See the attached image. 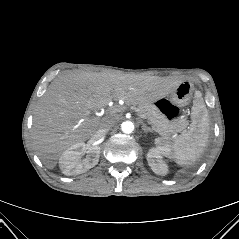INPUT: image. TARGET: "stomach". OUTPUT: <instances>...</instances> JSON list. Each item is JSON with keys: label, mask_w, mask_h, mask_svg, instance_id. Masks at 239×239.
I'll return each mask as SVG.
<instances>
[{"label": "stomach", "mask_w": 239, "mask_h": 239, "mask_svg": "<svg viewBox=\"0 0 239 239\" xmlns=\"http://www.w3.org/2000/svg\"><path fill=\"white\" fill-rule=\"evenodd\" d=\"M194 85L190 81H181L171 93L170 98H159L156 105L162 110L163 117L169 122H178L185 115V106L191 99Z\"/></svg>", "instance_id": "1"}]
</instances>
